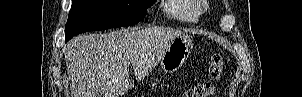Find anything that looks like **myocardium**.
<instances>
[{
    "label": "myocardium",
    "instance_id": "obj_1",
    "mask_svg": "<svg viewBox=\"0 0 302 97\" xmlns=\"http://www.w3.org/2000/svg\"><path fill=\"white\" fill-rule=\"evenodd\" d=\"M193 3L196 4V11L201 13L206 9V1L205 0H192Z\"/></svg>",
    "mask_w": 302,
    "mask_h": 97
}]
</instances>
